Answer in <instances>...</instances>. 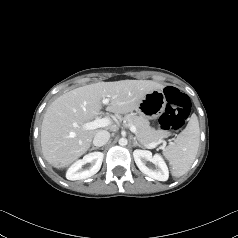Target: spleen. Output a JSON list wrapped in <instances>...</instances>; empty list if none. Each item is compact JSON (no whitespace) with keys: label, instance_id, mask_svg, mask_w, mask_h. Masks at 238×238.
<instances>
[{"label":"spleen","instance_id":"spleen-1","mask_svg":"<svg viewBox=\"0 0 238 238\" xmlns=\"http://www.w3.org/2000/svg\"><path fill=\"white\" fill-rule=\"evenodd\" d=\"M199 136V122L197 116L192 114L186 128L173 143L163 149V155L170 163L173 176H182L190 169L198 152Z\"/></svg>","mask_w":238,"mask_h":238}]
</instances>
